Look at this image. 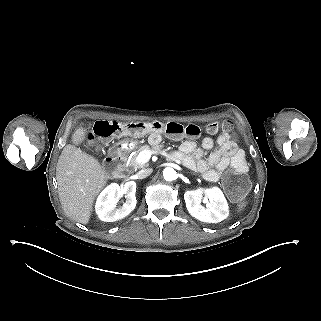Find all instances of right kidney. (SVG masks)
<instances>
[{"label": "right kidney", "mask_w": 321, "mask_h": 321, "mask_svg": "<svg viewBox=\"0 0 321 321\" xmlns=\"http://www.w3.org/2000/svg\"><path fill=\"white\" fill-rule=\"evenodd\" d=\"M136 182L128 181L123 186L117 183L108 185L98 196L95 210L99 219L113 222L126 217L136 206ZM126 195V202L122 207L116 208L119 198Z\"/></svg>", "instance_id": "ca27d5eb"}]
</instances>
